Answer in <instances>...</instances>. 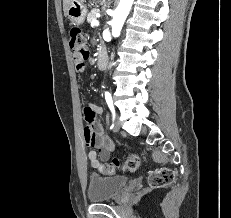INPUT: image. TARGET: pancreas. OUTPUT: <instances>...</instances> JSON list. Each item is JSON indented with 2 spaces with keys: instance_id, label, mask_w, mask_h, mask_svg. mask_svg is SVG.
Listing matches in <instances>:
<instances>
[{
  "instance_id": "pancreas-1",
  "label": "pancreas",
  "mask_w": 231,
  "mask_h": 218,
  "mask_svg": "<svg viewBox=\"0 0 231 218\" xmlns=\"http://www.w3.org/2000/svg\"><path fill=\"white\" fill-rule=\"evenodd\" d=\"M100 10L99 9H92L91 11H90V13L88 14V16H87V20H88V22L89 23H91L93 20H96L97 19V17H96V14L99 12Z\"/></svg>"
}]
</instances>
